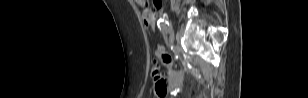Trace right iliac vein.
<instances>
[{"mask_svg": "<svg viewBox=\"0 0 308 98\" xmlns=\"http://www.w3.org/2000/svg\"><path fill=\"white\" fill-rule=\"evenodd\" d=\"M167 33L169 35V44L172 45L174 42L175 35H174V30H173L171 23H169L167 26Z\"/></svg>", "mask_w": 308, "mask_h": 98, "instance_id": "1", "label": "right iliac vein"}]
</instances>
